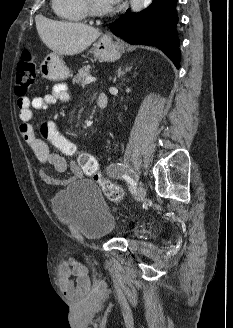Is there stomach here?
I'll use <instances>...</instances> for the list:
<instances>
[{
  "instance_id": "obj_1",
  "label": "stomach",
  "mask_w": 233,
  "mask_h": 328,
  "mask_svg": "<svg viewBox=\"0 0 233 328\" xmlns=\"http://www.w3.org/2000/svg\"><path fill=\"white\" fill-rule=\"evenodd\" d=\"M124 52V45L114 40L112 35H103L94 44V55L103 61H116ZM40 73L43 78L58 81L69 77V69L62 58L56 53L48 54L40 64Z\"/></svg>"
}]
</instances>
